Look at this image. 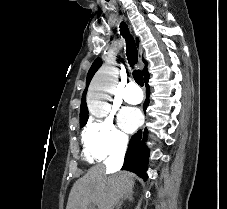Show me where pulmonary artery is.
<instances>
[{
  "mask_svg": "<svg viewBox=\"0 0 227 209\" xmlns=\"http://www.w3.org/2000/svg\"><path fill=\"white\" fill-rule=\"evenodd\" d=\"M125 86V92L123 93L124 101L129 104H139L143 97L139 93V88H134L136 87V82H126Z\"/></svg>",
  "mask_w": 227,
  "mask_h": 209,
  "instance_id": "e3ab8cb5",
  "label": "pulmonary artery"
}]
</instances>
